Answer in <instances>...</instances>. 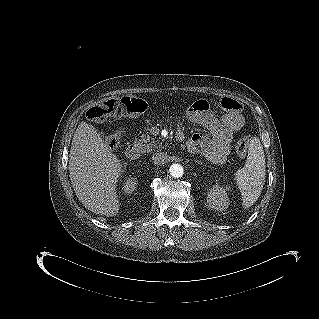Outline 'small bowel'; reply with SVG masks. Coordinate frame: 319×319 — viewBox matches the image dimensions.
<instances>
[{"mask_svg": "<svg viewBox=\"0 0 319 319\" xmlns=\"http://www.w3.org/2000/svg\"><path fill=\"white\" fill-rule=\"evenodd\" d=\"M204 125L211 137L200 133L193 134L188 140L187 147L191 152L200 149L211 161L221 163L230 153L233 132L243 127L244 119L239 113H229L220 119L211 115ZM179 133H182L180 129Z\"/></svg>", "mask_w": 319, "mask_h": 319, "instance_id": "1", "label": "small bowel"}]
</instances>
